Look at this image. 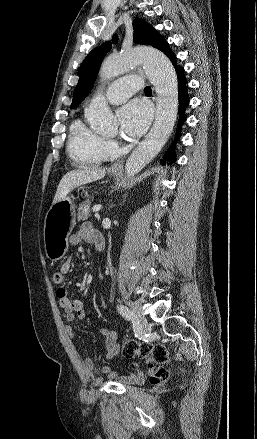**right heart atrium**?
Instances as JSON below:
<instances>
[{"instance_id": "right-heart-atrium-1", "label": "right heart atrium", "mask_w": 257, "mask_h": 439, "mask_svg": "<svg viewBox=\"0 0 257 439\" xmlns=\"http://www.w3.org/2000/svg\"><path fill=\"white\" fill-rule=\"evenodd\" d=\"M114 149V142L112 140L105 139L103 143V150L106 156H109Z\"/></svg>"}]
</instances>
